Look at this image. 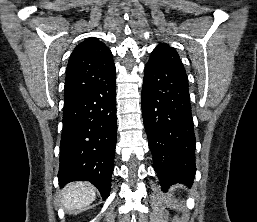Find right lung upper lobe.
I'll return each mask as SVG.
<instances>
[{
	"label": "right lung upper lobe",
	"mask_w": 257,
	"mask_h": 222,
	"mask_svg": "<svg viewBox=\"0 0 257 222\" xmlns=\"http://www.w3.org/2000/svg\"><path fill=\"white\" fill-rule=\"evenodd\" d=\"M115 71L111 51L90 37L73 50L66 69L64 100L74 98L105 81Z\"/></svg>",
	"instance_id": "right-lung-upper-lobe-1"
}]
</instances>
